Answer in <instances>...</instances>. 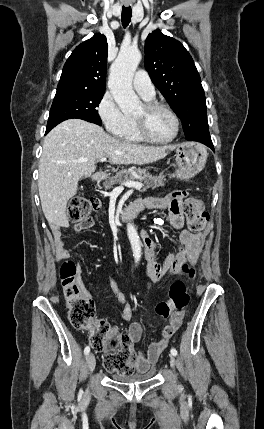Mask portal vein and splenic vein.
<instances>
[{
	"instance_id": "18ae733b",
	"label": "portal vein and splenic vein",
	"mask_w": 264,
	"mask_h": 429,
	"mask_svg": "<svg viewBox=\"0 0 264 429\" xmlns=\"http://www.w3.org/2000/svg\"><path fill=\"white\" fill-rule=\"evenodd\" d=\"M101 162L106 161V157H102L100 159ZM123 186L129 187V188H136V189H140L143 187V184L140 182H136V181H125L122 183Z\"/></svg>"
}]
</instances>
